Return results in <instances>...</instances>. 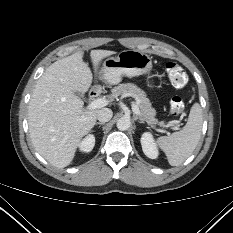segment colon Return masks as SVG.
I'll return each instance as SVG.
<instances>
[{
	"label": "colon",
	"instance_id": "obj_1",
	"mask_svg": "<svg viewBox=\"0 0 233 233\" xmlns=\"http://www.w3.org/2000/svg\"><path fill=\"white\" fill-rule=\"evenodd\" d=\"M165 71L170 83L175 88H183L188 82V76L185 70L175 62H168L165 65ZM185 103L182 98L174 97L170 103V112L173 116H178L184 112Z\"/></svg>",
	"mask_w": 233,
	"mask_h": 233
}]
</instances>
